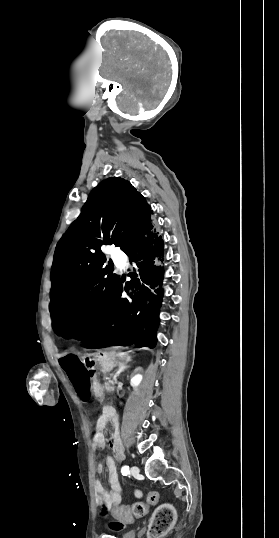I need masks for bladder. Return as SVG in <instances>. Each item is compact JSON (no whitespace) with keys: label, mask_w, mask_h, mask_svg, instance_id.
I'll list each match as a JSON object with an SVG mask.
<instances>
[{"label":"bladder","mask_w":279,"mask_h":538,"mask_svg":"<svg viewBox=\"0 0 279 538\" xmlns=\"http://www.w3.org/2000/svg\"><path fill=\"white\" fill-rule=\"evenodd\" d=\"M124 538H136L134 532H125Z\"/></svg>","instance_id":"obj_1"}]
</instances>
